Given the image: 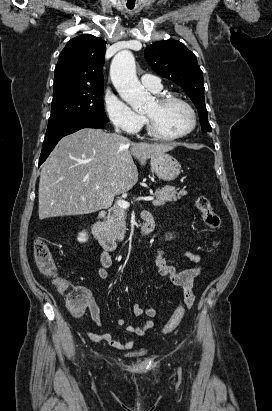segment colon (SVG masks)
<instances>
[{
    "instance_id": "1",
    "label": "colon",
    "mask_w": 272,
    "mask_h": 411,
    "mask_svg": "<svg viewBox=\"0 0 272 411\" xmlns=\"http://www.w3.org/2000/svg\"><path fill=\"white\" fill-rule=\"evenodd\" d=\"M196 207L200 211L205 224L213 231H217L221 226L220 216L214 211L210 200L205 196H199L196 199ZM217 246L218 242L214 241ZM34 259L39 272L52 280L59 292L66 298L70 311L76 317L82 316L90 302L89 294L82 288L69 283L60 273L53 259L47 243L42 239L34 242ZM191 299H184L179 304L169 322L163 327V333L173 332L182 320L186 308H190Z\"/></svg>"
}]
</instances>
